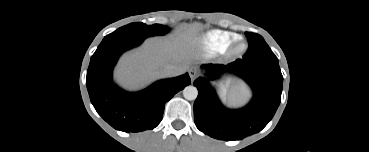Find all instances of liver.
<instances>
[{
	"label": "liver",
	"mask_w": 369,
	"mask_h": 152,
	"mask_svg": "<svg viewBox=\"0 0 369 152\" xmlns=\"http://www.w3.org/2000/svg\"><path fill=\"white\" fill-rule=\"evenodd\" d=\"M198 28L197 24L189 26L181 37L170 40H147L141 48L121 58L115 71L116 79L125 88L137 89L156 78L167 76L164 67L168 64L178 66L183 73L191 61V49L183 38Z\"/></svg>",
	"instance_id": "6515ba94"
}]
</instances>
